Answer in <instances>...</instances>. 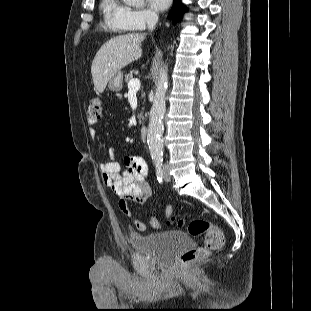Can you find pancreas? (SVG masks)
<instances>
[{"label": "pancreas", "mask_w": 311, "mask_h": 311, "mask_svg": "<svg viewBox=\"0 0 311 311\" xmlns=\"http://www.w3.org/2000/svg\"><path fill=\"white\" fill-rule=\"evenodd\" d=\"M132 79H133V74L132 73H128L127 75H125V82L126 83H129V81L132 80ZM142 97H145V93L142 94ZM138 119H139V123H141L142 120L144 119L142 112L138 115Z\"/></svg>", "instance_id": "1"}]
</instances>
